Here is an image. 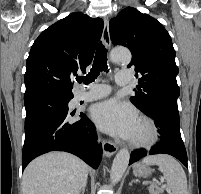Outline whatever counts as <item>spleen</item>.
I'll list each match as a JSON object with an SVG mask.
<instances>
[{"instance_id": "spleen-1", "label": "spleen", "mask_w": 201, "mask_h": 194, "mask_svg": "<svg viewBox=\"0 0 201 194\" xmlns=\"http://www.w3.org/2000/svg\"><path fill=\"white\" fill-rule=\"evenodd\" d=\"M142 162L159 167L171 194H188L186 174L176 159L169 155L158 154L145 157Z\"/></svg>"}]
</instances>
